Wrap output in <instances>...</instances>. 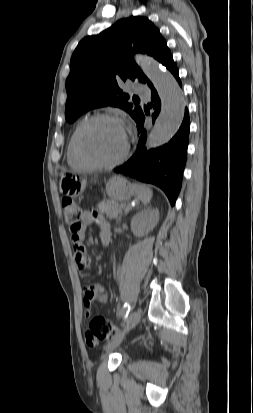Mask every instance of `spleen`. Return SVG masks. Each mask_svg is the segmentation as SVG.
<instances>
[{"mask_svg": "<svg viewBox=\"0 0 253 413\" xmlns=\"http://www.w3.org/2000/svg\"><path fill=\"white\" fill-rule=\"evenodd\" d=\"M132 186L136 195L142 201V203L148 204L153 196L152 190L143 184L134 183Z\"/></svg>", "mask_w": 253, "mask_h": 413, "instance_id": "obj_1", "label": "spleen"}]
</instances>
